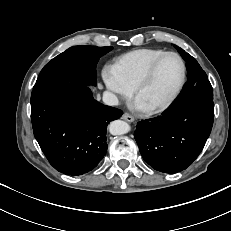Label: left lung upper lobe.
Here are the masks:
<instances>
[{"label": "left lung upper lobe", "mask_w": 231, "mask_h": 231, "mask_svg": "<svg viewBox=\"0 0 231 231\" xmlns=\"http://www.w3.org/2000/svg\"><path fill=\"white\" fill-rule=\"evenodd\" d=\"M186 61L188 80L184 85L180 95L174 101H181L190 98H202L213 100V89L207 78L205 71L202 70L195 58L186 53L178 46H174Z\"/></svg>", "instance_id": "obj_1"}]
</instances>
